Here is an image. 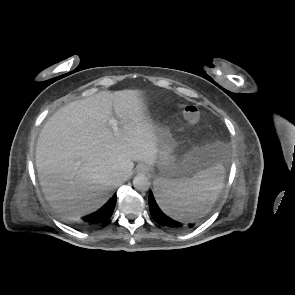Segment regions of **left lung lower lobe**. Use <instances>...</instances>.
<instances>
[{
    "mask_svg": "<svg viewBox=\"0 0 295 295\" xmlns=\"http://www.w3.org/2000/svg\"><path fill=\"white\" fill-rule=\"evenodd\" d=\"M149 208L153 219L160 225L172 229L192 228L194 226L193 223L183 224L181 222L173 220L172 218L168 217L165 213H163L157 205L151 191L149 193Z\"/></svg>",
    "mask_w": 295,
    "mask_h": 295,
    "instance_id": "obj_1",
    "label": "left lung lower lobe"
}]
</instances>
